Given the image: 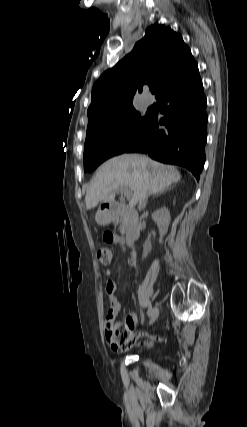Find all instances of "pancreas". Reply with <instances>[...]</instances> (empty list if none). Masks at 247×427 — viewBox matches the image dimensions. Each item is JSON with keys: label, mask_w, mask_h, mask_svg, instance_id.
I'll return each instance as SVG.
<instances>
[{"label": "pancreas", "mask_w": 247, "mask_h": 427, "mask_svg": "<svg viewBox=\"0 0 247 427\" xmlns=\"http://www.w3.org/2000/svg\"><path fill=\"white\" fill-rule=\"evenodd\" d=\"M117 223L120 224L119 230L121 234H124L126 232V225H127V219L124 211L119 212Z\"/></svg>", "instance_id": "pancreas-1"}]
</instances>
